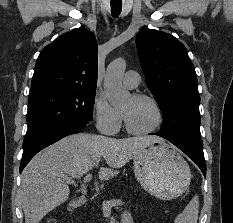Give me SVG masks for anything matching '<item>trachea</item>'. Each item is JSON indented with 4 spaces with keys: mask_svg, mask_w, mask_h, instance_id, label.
Masks as SVG:
<instances>
[{
    "mask_svg": "<svg viewBox=\"0 0 233 223\" xmlns=\"http://www.w3.org/2000/svg\"><path fill=\"white\" fill-rule=\"evenodd\" d=\"M122 9V3H111V13L113 17H118Z\"/></svg>",
    "mask_w": 233,
    "mask_h": 223,
    "instance_id": "3493384b",
    "label": "trachea"
}]
</instances>
